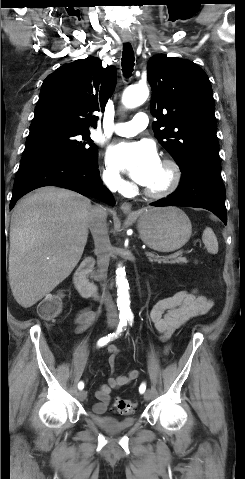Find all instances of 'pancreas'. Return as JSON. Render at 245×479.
Wrapping results in <instances>:
<instances>
[{
    "label": "pancreas",
    "instance_id": "pancreas-1",
    "mask_svg": "<svg viewBox=\"0 0 245 479\" xmlns=\"http://www.w3.org/2000/svg\"><path fill=\"white\" fill-rule=\"evenodd\" d=\"M150 262H157V263H170V264H186L188 263V260L185 257H160V256H154L149 258Z\"/></svg>",
    "mask_w": 245,
    "mask_h": 479
}]
</instances>
